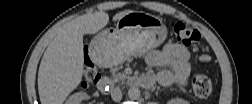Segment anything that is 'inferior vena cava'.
<instances>
[{
    "instance_id": "inferior-vena-cava-1",
    "label": "inferior vena cava",
    "mask_w": 252,
    "mask_h": 104,
    "mask_svg": "<svg viewBox=\"0 0 252 104\" xmlns=\"http://www.w3.org/2000/svg\"><path fill=\"white\" fill-rule=\"evenodd\" d=\"M111 97L115 102H120L122 99V91L119 88H115L111 92Z\"/></svg>"
}]
</instances>
